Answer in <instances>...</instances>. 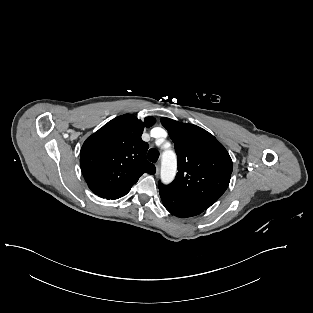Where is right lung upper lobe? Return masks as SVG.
I'll return each mask as SVG.
<instances>
[{
    "instance_id": "right-lung-upper-lobe-1",
    "label": "right lung upper lobe",
    "mask_w": 313,
    "mask_h": 313,
    "mask_svg": "<svg viewBox=\"0 0 313 313\" xmlns=\"http://www.w3.org/2000/svg\"><path fill=\"white\" fill-rule=\"evenodd\" d=\"M154 123L153 117L143 122L125 114L87 138L80 151V166L94 194L108 198L130 190L143 173H155V166L146 159L148 144L141 139L143 129Z\"/></svg>"
}]
</instances>
